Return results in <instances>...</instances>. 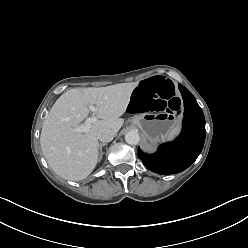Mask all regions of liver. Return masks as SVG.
<instances>
[{
	"mask_svg": "<svg viewBox=\"0 0 248 248\" xmlns=\"http://www.w3.org/2000/svg\"><path fill=\"white\" fill-rule=\"evenodd\" d=\"M138 82L106 87L74 88L62 94L45 118L40 135L43 155L50 168L66 180L88 177L98 163V132L109 128L117 133L123 126L120 118L126 111ZM90 105L99 118L85 133L73 129L84 121Z\"/></svg>",
	"mask_w": 248,
	"mask_h": 248,
	"instance_id": "obj_1",
	"label": "liver"
}]
</instances>
